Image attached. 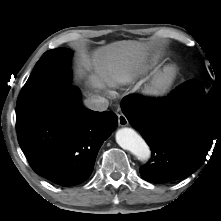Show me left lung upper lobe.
Masks as SVG:
<instances>
[{
    "mask_svg": "<svg viewBox=\"0 0 221 221\" xmlns=\"http://www.w3.org/2000/svg\"><path fill=\"white\" fill-rule=\"evenodd\" d=\"M174 101L183 106L206 107L209 105H215L216 107H220L221 92L213 87L208 93H206L202 83H200L193 91L184 94L176 93L174 95Z\"/></svg>",
    "mask_w": 221,
    "mask_h": 221,
    "instance_id": "5c2ea615",
    "label": "left lung upper lobe"
}]
</instances>
